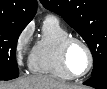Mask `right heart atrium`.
<instances>
[{"mask_svg": "<svg viewBox=\"0 0 107 89\" xmlns=\"http://www.w3.org/2000/svg\"><path fill=\"white\" fill-rule=\"evenodd\" d=\"M33 35V26L27 25L17 38L15 51L19 65H22L30 51V44Z\"/></svg>", "mask_w": 107, "mask_h": 89, "instance_id": "d8ad5b80", "label": "right heart atrium"}]
</instances>
